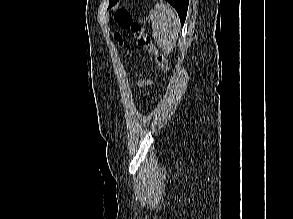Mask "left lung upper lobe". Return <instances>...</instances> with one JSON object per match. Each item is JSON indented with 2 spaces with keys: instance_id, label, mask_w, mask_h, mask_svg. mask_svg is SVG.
<instances>
[{
  "instance_id": "1",
  "label": "left lung upper lobe",
  "mask_w": 293,
  "mask_h": 219,
  "mask_svg": "<svg viewBox=\"0 0 293 219\" xmlns=\"http://www.w3.org/2000/svg\"><path fill=\"white\" fill-rule=\"evenodd\" d=\"M117 0H110V6L113 5Z\"/></svg>"
}]
</instances>
